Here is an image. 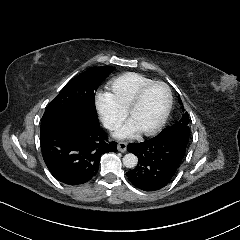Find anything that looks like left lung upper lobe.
Here are the masks:
<instances>
[{"label":"left lung upper lobe","instance_id":"left-lung-upper-lobe-1","mask_svg":"<svg viewBox=\"0 0 240 240\" xmlns=\"http://www.w3.org/2000/svg\"><path fill=\"white\" fill-rule=\"evenodd\" d=\"M179 103L182 104L181 99L179 98ZM189 115L187 112H184L182 114L181 119L172 125L169 128L163 129V131L159 134H175V135H180L186 138H189Z\"/></svg>","mask_w":240,"mask_h":240}]
</instances>
